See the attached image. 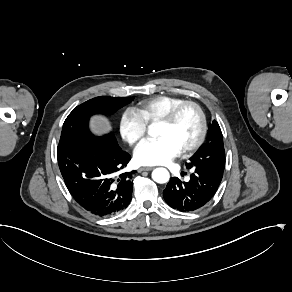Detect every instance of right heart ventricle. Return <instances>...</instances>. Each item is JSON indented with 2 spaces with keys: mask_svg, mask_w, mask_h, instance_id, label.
<instances>
[{
  "mask_svg": "<svg viewBox=\"0 0 292 292\" xmlns=\"http://www.w3.org/2000/svg\"><path fill=\"white\" fill-rule=\"evenodd\" d=\"M182 101L185 99L177 95H156L139 101L135 109L149 125L157 122V119L170 107Z\"/></svg>",
  "mask_w": 292,
  "mask_h": 292,
  "instance_id": "obj_1",
  "label": "right heart ventricle"
}]
</instances>
